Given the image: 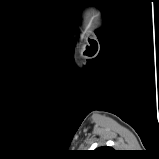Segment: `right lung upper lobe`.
<instances>
[{"label":"right lung upper lobe","instance_id":"right-lung-upper-lobe-1","mask_svg":"<svg viewBox=\"0 0 159 159\" xmlns=\"http://www.w3.org/2000/svg\"><path fill=\"white\" fill-rule=\"evenodd\" d=\"M108 149H111L109 147H100L98 149H96V151H107Z\"/></svg>","mask_w":159,"mask_h":159}]
</instances>
